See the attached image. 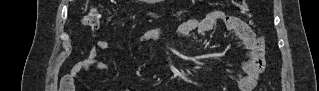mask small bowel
<instances>
[{"mask_svg": "<svg viewBox=\"0 0 319 91\" xmlns=\"http://www.w3.org/2000/svg\"><path fill=\"white\" fill-rule=\"evenodd\" d=\"M218 22H222L226 30L237 35L245 50V59L241 63V71L236 77L238 89L240 91H254L266 67V48L263 37L249 23L225 12L213 11L201 19L190 18L184 21L179 25L176 35L178 38H184L189 33L196 31L203 36L211 32ZM155 36V34L146 35L142 37L141 41L146 43ZM110 43L107 38L98 40L90 49L87 58L73 67L70 76L74 77L91 66L105 67V63L97 58L98 52L109 48Z\"/></svg>", "mask_w": 319, "mask_h": 91, "instance_id": "1", "label": "small bowel"}]
</instances>
